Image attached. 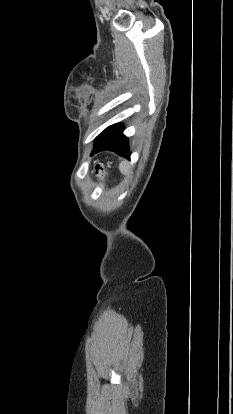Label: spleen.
<instances>
[{"label": "spleen", "instance_id": "1", "mask_svg": "<svg viewBox=\"0 0 233 414\" xmlns=\"http://www.w3.org/2000/svg\"><path fill=\"white\" fill-rule=\"evenodd\" d=\"M120 169L125 174L128 172V167H127L126 163L121 164Z\"/></svg>", "mask_w": 233, "mask_h": 414}]
</instances>
